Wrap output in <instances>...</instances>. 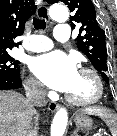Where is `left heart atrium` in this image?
Listing matches in <instances>:
<instances>
[{"label": "left heart atrium", "mask_w": 117, "mask_h": 136, "mask_svg": "<svg viewBox=\"0 0 117 136\" xmlns=\"http://www.w3.org/2000/svg\"><path fill=\"white\" fill-rule=\"evenodd\" d=\"M31 69L46 86L66 93L78 73L74 58L61 51H51L34 58Z\"/></svg>", "instance_id": "left-heart-atrium-1"}]
</instances>
